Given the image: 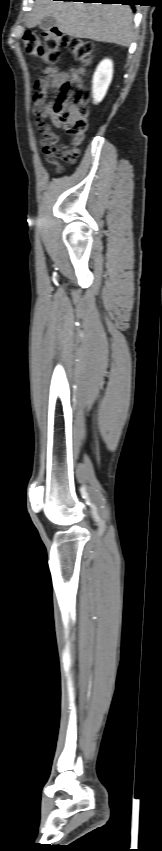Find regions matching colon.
Returning a JSON list of instances; mask_svg holds the SVG:
<instances>
[{
  "label": "colon",
  "mask_w": 162,
  "mask_h": 851,
  "mask_svg": "<svg viewBox=\"0 0 162 851\" xmlns=\"http://www.w3.org/2000/svg\"><path fill=\"white\" fill-rule=\"evenodd\" d=\"M25 52L47 64L60 61L61 51L66 50L82 67L69 74L62 85L54 106L56 122L73 138L76 147L82 142L87 129L88 92L80 78L84 66L90 63L94 44L91 41L65 34L57 28L40 33L28 32L23 38ZM79 155L78 148L70 152L68 162L73 163Z\"/></svg>",
  "instance_id": "5ec220e1"
}]
</instances>
